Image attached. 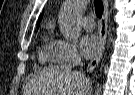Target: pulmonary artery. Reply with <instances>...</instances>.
I'll return each mask as SVG.
<instances>
[{
	"label": "pulmonary artery",
	"mask_w": 135,
	"mask_h": 95,
	"mask_svg": "<svg viewBox=\"0 0 135 95\" xmlns=\"http://www.w3.org/2000/svg\"><path fill=\"white\" fill-rule=\"evenodd\" d=\"M83 27L87 31H92L95 28L94 18L91 16H85L83 18Z\"/></svg>",
	"instance_id": "pulmonary-artery-1"
}]
</instances>
